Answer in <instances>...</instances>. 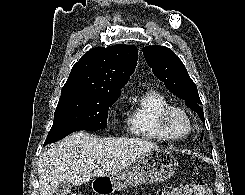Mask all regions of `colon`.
<instances>
[{
  "label": "colon",
  "instance_id": "1",
  "mask_svg": "<svg viewBox=\"0 0 245 195\" xmlns=\"http://www.w3.org/2000/svg\"><path fill=\"white\" fill-rule=\"evenodd\" d=\"M170 195H212V192L204 183H192L176 188Z\"/></svg>",
  "mask_w": 245,
  "mask_h": 195
}]
</instances>
